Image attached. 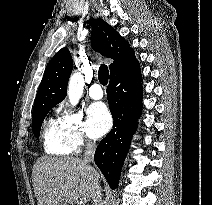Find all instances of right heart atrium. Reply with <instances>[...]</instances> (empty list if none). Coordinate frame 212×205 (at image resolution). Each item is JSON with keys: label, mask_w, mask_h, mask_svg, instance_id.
I'll return each instance as SVG.
<instances>
[{"label": "right heart atrium", "mask_w": 212, "mask_h": 205, "mask_svg": "<svg viewBox=\"0 0 212 205\" xmlns=\"http://www.w3.org/2000/svg\"><path fill=\"white\" fill-rule=\"evenodd\" d=\"M68 142L73 151H79L83 146L91 144L86 135L83 115L72 110H63L61 117Z\"/></svg>", "instance_id": "d8ad5b80"}]
</instances>
